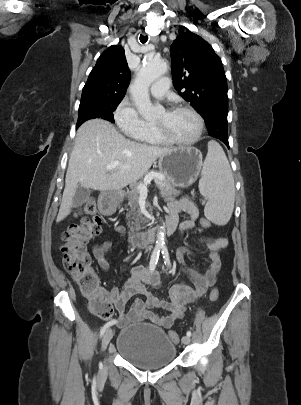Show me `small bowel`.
I'll list each match as a JSON object with an SVG mask.
<instances>
[{
	"label": "small bowel",
	"instance_id": "1",
	"mask_svg": "<svg viewBox=\"0 0 301 405\" xmlns=\"http://www.w3.org/2000/svg\"><path fill=\"white\" fill-rule=\"evenodd\" d=\"M181 213H186L188 219L181 222L180 231L193 229L199 217L198 208L186 198L171 201L168 204L169 219L178 222ZM114 231L119 235L125 233L123 226H117ZM112 245L111 240H105L93 247V254L104 270H108L110 267L107 254ZM205 245L209 253L207 255V269L203 273L186 263L185 256L190 253L188 248L181 247L178 249L177 260L193 282L194 288L185 284H176L169 289L165 299L156 297L147 288V286L160 288L157 270L150 271V269L138 265L124 266L125 281L123 286L121 288L113 286L110 289H102L103 294L117 312V319H113L116 320V324L119 327H124L132 322L148 320L164 328H170L176 320L181 319L187 304L204 295L216 283L221 266L219 252L227 247L228 240L224 237H218L206 240ZM135 295H141L143 299H136L128 308L129 301ZM158 310H163L165 313L161 314Z\"/></svg>",
	"mask_w": 301,
	"mask_h": 405
}]
</instances>
